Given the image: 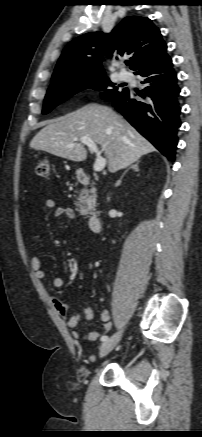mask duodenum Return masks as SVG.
I'll return each instance as SVG.
<instances>
[{
  "label": "duodenum",
  "instance_id": "duodenum-1",
  "mask_svg": "<svg viewBox=\"0 0 202 437\" xmlns=\"http://www.w3.org/2000/svg\"><path fill=\"white\" fill-rule=\"evenodd\" d=\"M77 179L81 184L86 186L91 185L92 182L91 177L85 171H78ZM87 223L92 232L94 233L100 232L102 223L100 217L96 212L92 211L89 214Z\"/></svg>",
  "mask_w": 202,
  "mask_h": 437
}]
</instances>
